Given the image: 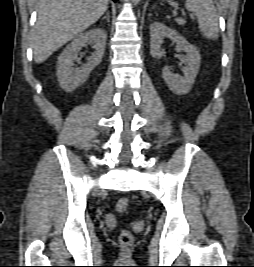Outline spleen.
<instances>
[{"label": "spleen", "mask_w": 254, "mask_h": 267, "mask_svg": "<svg viewBox=\"0 0 254 267\" xmlns=\"http://www.w3.org/2000/svg\"><path fill=\"white\" fill-rule=\"evenodd\" d=\"M185 7L197 16L199 29L204 37L218 38V14L212 0H186Z\"/></svg>", "instance_id": "1"}]
</instances>
